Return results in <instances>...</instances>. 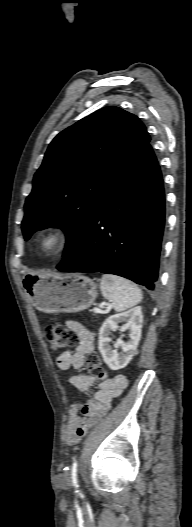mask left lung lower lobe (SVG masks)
Listing matches in <instances>:
<instances>
[{
  "label": "left lung lower lobe",
  "instance_id": "0a47b994",
  "mask_svg": "<svg viewBox=\"0 0 192 527\" xmlns=\"http://www.w3.org/2000/svg\"><path fill=\"white\" fill-rule=\"evenodd\" d=\"M164 222L163 179L148 144L112 183L57 269L115 274L153 290Z\"/></svg>",
  "mask_w": 192,
  "mask_h": 527
}]
</instances>
